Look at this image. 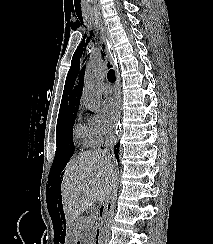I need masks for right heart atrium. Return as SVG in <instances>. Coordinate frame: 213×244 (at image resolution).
<instances>
[{
	"label": "right heart atrium",
	"instance_id": "right-heart-atrium-1",
	"mask_svg": "<svg viewBox=\"0 0 213 244\" xmlns=\"http://www.w3.org/2000/svg\"><path fill=\"white\" fill-rule=\"evenodd\" d=\"M84 126L87 130L91 145L101 144L108 134V129L99 114L87 116Z\"/></svg>",
	"mask_w": 213,
	"mask_h": 244
}]
</instances>
